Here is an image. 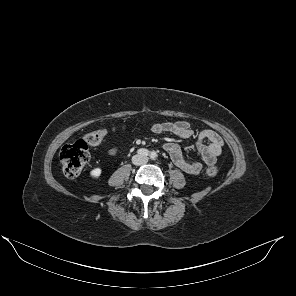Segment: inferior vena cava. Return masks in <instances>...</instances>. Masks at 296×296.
Segmentation results:
<instances>
[{
    "label": "inferior vena cava",
    "mask_w": 296,
    "mask_h": 296,
    "mask_svg": "<svg viewBox=\"0 0 296 296\" xmlns=\"http://www.w3.org/2000/svg\"><path fill=\"white\" fill-rule=\"evenodd\" d=\"M148 162V158L145 156L136 155L133 157V163L135 165H143Z\"/></svg>",
    "instance_id": "inferior-vena-cava-1"
}]
</instances>
